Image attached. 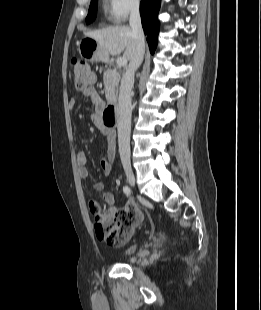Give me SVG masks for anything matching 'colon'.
<instances>
[{
	"label": "colon",
	"mask_w": 261,
	"mask_h": 310,
	"mask_svg": "<svg viewBox=\"0 0 261 310\" xmlns=\"http://www.w3.org/2000/svg\"><path fill=\"white\" fill-rule=\"evenodd\" d=\"M71 70L75 89L84 90L95 82V72L86 60L74 58L71 61ZM90 208L95 214V232L98 239L114 247L124 245L133 228L139 227L143 220V212L136 200H127L124 209L113 215L100 212L94 202L90 203Z\"/></svg>",
	"instance_id": "5ec220e1"
}]
</instances>
